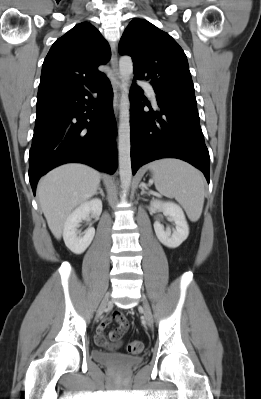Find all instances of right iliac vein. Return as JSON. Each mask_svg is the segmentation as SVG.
<instances>
[{"label": "right iliac vein", "mask_w": 261, "mask_h": 399, "mask_svg": "<svg viewBox=\"0 0 261 399\" xmlns=\"http://www.w3.org/2000/svg\"><path fill=\"white\" fill-rule=\"evenodd\" d=\"M109 302H110L109 295H107L104 298V300L102 301V303H101V305L99 307V310H98V313H97V318H99L102 315L103 311L105 310V308L107 307Z\"/></svg>", "instance_id": "right-iliac-vein-1"}]
</instances>
